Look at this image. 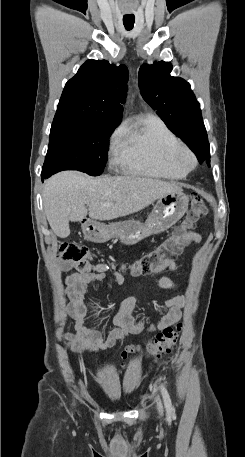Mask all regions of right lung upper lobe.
I'll use <instances>...</instances> for the list:
<instances>
[{"mask_svg": "<svg viewBox=\"0 0 245 457\" xmlns=\"http://www.w3.org/2000/svg\"><path fill=\"white\" fill-rule=\"evenodd\" d=\"M128 70L105 60H88L63 90L56 114L121 121Z\"/></svg>", "mask_w": 245, "mask_h": 457, "instance_id": "obj_1", "label": "right lung upper lobe"}]
</instances>
